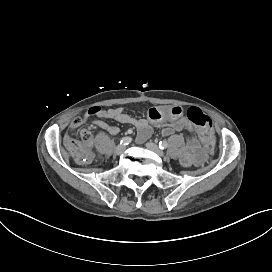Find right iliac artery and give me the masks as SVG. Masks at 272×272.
<instances>
[{
    "mask_svg": "<svg viewBox=\"0 0 272 272\" xmlns=\"http://www.w3.org/2000/svg\"><path fill=\"white\" fill-rule=\"evenodd\" d=\"M132 138L131 137H123L120 141V144L122 145H128L129 143H131Z\"/></svg>",
    "mask_w": 272,
    "mask_h": 272,
    "instance_id": "1",
    "label": "right iliac artery"
}]
</instances>
